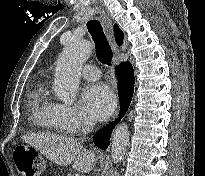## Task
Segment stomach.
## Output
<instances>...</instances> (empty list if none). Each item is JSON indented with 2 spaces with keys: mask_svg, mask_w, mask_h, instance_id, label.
I'll list each match as a JSON object with an SVG mask.
<instances>
[{
  "mask_svg": "<svg viewBox=\"0 0 205 176\" xmlns=\"http://www.w3.org/2000/svg\"><path fill=\"white\" fill-rule=\"evenodd\" d=\"M21 148L25 149L26 151H30L31 150V151H35L36 152V150L33 147H31V146H29L27 144H22Z\"/></svg>",
  "mask_w": 205,
  "mask_h": 176,
  "instance_id": "stomach-1",
  "label": "stomach"
}]
</instances>
